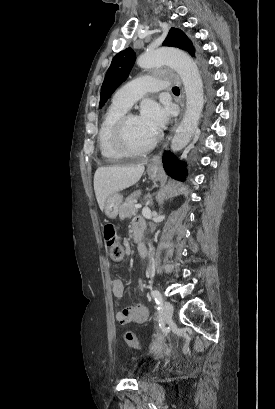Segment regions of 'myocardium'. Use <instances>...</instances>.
<instances>
[{
  "label": "myocardium",
  "mask_w": 275,
  "mask_h": 409,
  "mask_svg": "<svg viewBox=\"0 0 275 409\" xmlns=\"http://www.w3.org/2000/svg\"><path fill=\"white\" fill-rule=\"evenodd\" d=\"M133 117L138 116L134 113H127L124 116H122L120 120L117 122L114 135L115 146L118 149V151L124 155L136 156L145 155L155 148L158 142V138L155 136L154 139L149 144L142 148H136L132 146L129 141L128 125L130 119Z\"/></svg>",
  "instance_id": "f54148a6"
}]
</instances>
